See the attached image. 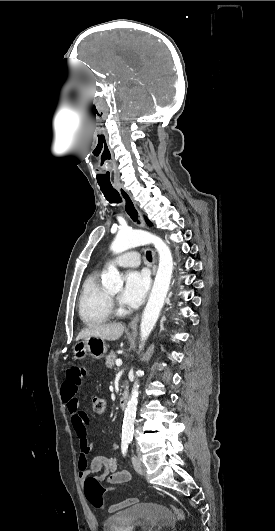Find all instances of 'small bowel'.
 I'll return each mask as SVG.
<instances>
[{
    "label": "small bowel",
    "instance_id": "obj_1",
    "mask_svg": "<svg viewBox=\"0 0 275 531\" xmlns=\"http://www.w3.org/2000/svg\"><path fill=\"white\" fill-rule=\"evenodd\" d=\"M68 381L62 386V399L65 402L70 413L71 424L80 439L81 452L77 458L78 476L80 480L84 479L86 471H95L99 473L102 478H112L115 483L119 485L130 481L131 475L126 470L118 469L117 460L114 456L96 455L91 461L88 457L93 449V442H89L87 436V426L89 424V417L87 413L79 407L77 394L80 391L79 384L82 381V376H87L89 371L87 369H77L74 365L66 368L64 371ZM116 448L115 445L112 446ZM136 503L135 499H126L121 502L110 505L106 510L109 513H116L127 509ZM102 509H105L102 507Z\"/></svg>",
    "mask_w": 275,
    "mask_h": 531
}]
</instances>
